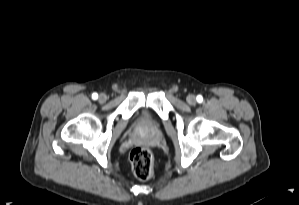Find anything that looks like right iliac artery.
<instances>
[{"label": "right iliac artery", "mask_w": 299, "mask_h": 205, "mask_svg": "<svg viewBox=\"0 0 299 205\" xmlns=\"http://www.w3.org/2000/svg\"><path fill=\"white\" fill-rule=\"evenodd\" d=\"M98 98V94L97 93H93L92 94V99L96 100Z\"/></svg>", "instance_id": "1"}]
</instances>
